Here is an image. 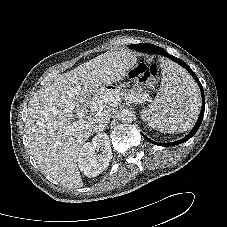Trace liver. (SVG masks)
<instances>
[{
    "mask_svg": "<svg viewBox=\"0 0 227 227\" xmlns=\"http://www.w3.org/2000/svg\"><path fill=\"white\" fill-rule=\"evenodd\" d=\"M134 63L129 50H110L34 94L26 131L32 155L46 175L69 189L83 187L77 165L80 150L92 134L95 118L109 115L110 107L119 102L105 87L122 80ZM80 110L86 117L79 127L72 128L74 114Z\"/></svg>",
    "mask_w": 227,
    "mask_h": 227,
    "instance_id": "liver-1",
    "label": "liver"
}]
</instances>
